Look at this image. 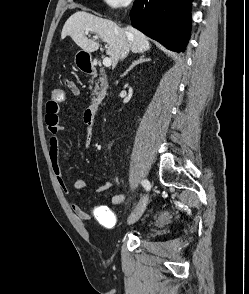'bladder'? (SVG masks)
<instances>
[{
	"mask_svg": "<svg viewBox=\"0 0 249 294\" xmlns=\"http://www.w3.org/2000/svg\"><path fill=\"white\" fill-rule=\"evenodd\" d=\"M169 219L168 213H163L160 220L166 222Z\"/></svg>",
	"mask_w": 249,
	"mask_h": 294,
	"instance_id": "bladder-1",
	"label": "bladder"
}]
</instances>
